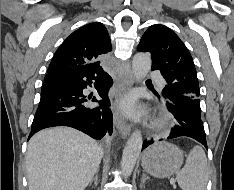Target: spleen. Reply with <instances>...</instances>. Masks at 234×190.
Segmentation results:
<instances>
[{
    "label": "spleen",
    "instance_id": "obj_1",
    "mask_svg": "<svg viewBox=\"0 0 234 190\" xmlns=\"http://www.w3.org/2000/svg\"><path fill=\"white\" fill-rule=\"evenodd\" d=\"M176 180L182 190H206L208 165L204 150L196 145L190 151L184 168L177 173Z\"/></svg>",
    "mask_w": 234,
    "mask_h": 190
}]
</instances>
